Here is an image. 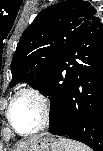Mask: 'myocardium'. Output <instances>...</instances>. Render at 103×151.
Segmentation results:
<instances>
[{
    "instance_id": "1",
    "label": "myocardium",
    "mask_w": 103,
    "mask_h": 151,
    "mask_svg": "<svg viewBox=\"0 0 103 151\" xmlns=\"http://www.w3.org/2000/svg\"><path fill=\"white\" fill-rule=\"evenodd\" d=\"M22 96H30L34 98L39 105L40 113H41L39 124L34 129L28 132H20L14 125L11 117L12 108L15 102L17 101L18 98ZM50 116H51V106L48 97L41 90L34 87L22 88L18 92H16L14 96L11 98L6 111V117L10 126L17 134L21 136H28L43 130L49 124Z\"/></svg>"
}]
</instances>
